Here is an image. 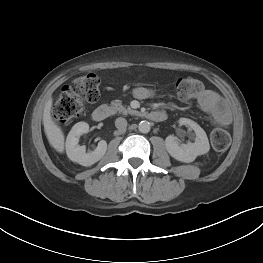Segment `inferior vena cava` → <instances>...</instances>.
Segmentation results:
<instances>
[{
  "label": "inferior vena cava",
  "instance_id": "602c4592",
  "mask_svg": "<svg viewBox=\"0 0 263 263\" xmlns=\"http://www.w3.org/2000/svg\"><path fill=\"white\" fill-rule=\"evenodd\" d=\"M115 126L120 131H125L127 127V121L125 118L119 117L115 121Z\"/></svg>",
  "mask_w": 263,
  "mask_h": 263
}]
</instances>
